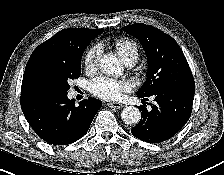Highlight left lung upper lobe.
<instances>
[{"mask_svg":"<svg viewBox=\"0 0 224 175\" xmlns=\"http://www.w3.org/2000/svg\"><path fill=\"white\" fill-rule=\"evenodd\" d=\"M122 30L141 42L148 60L147 80L137 91L138 96H149L167 85L195 86L187 60L171 36L143 23Z\"/></svg>","mask_w":224,"mask_h":175,"instance_id":"left-lung-upper-lobe-1","label":"left lung upper lobe"}]
</instances>
